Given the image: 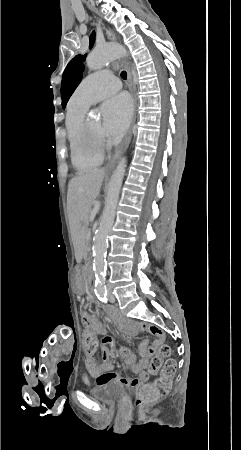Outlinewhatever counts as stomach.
Wrapping results in <instances>:
<instances>
[{
	"mask_svg": "<svg viewBox=\"0 0 241 450\" xmlns=\"http://www.w3.org/2000/svg\"><path fill=\"white\" fill-rule=\"evenodd\" d=\"M85 276L80 265L75 268L73 283L78 290H82L84 287Z\"/></svg>",
	"mask_w": 241,
	"mask_h": 450,
	"instance_id": "obj_1",
	"label": "stomach"
}]
</instances>
